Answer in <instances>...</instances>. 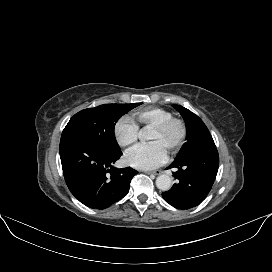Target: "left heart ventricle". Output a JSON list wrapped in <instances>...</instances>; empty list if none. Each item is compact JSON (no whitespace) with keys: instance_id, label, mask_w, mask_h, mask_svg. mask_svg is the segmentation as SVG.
Masks as SVG:
<instances>
[{"instance_id":"obj_1","label":"left heart ventricle","mask_w":272,"mask_h":272,"mask_svg":"<svg viewBox=\"0 0 272 272\" xmlns=\"http://www.w3.org/2000/svg\"><path fill=\"white\" fill-rule=\"evenodd\" d=\"M177 135L178 130L176 127L170 128L164 134L152 130L150 135V142H159L165 149H167L170 143H172L176 139Z\"/></svg>"}]
</instances>
